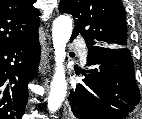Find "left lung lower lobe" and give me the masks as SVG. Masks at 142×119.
<instances>
[{
	"instance_id": "obj_1",
	"label": "left lung lower lobe",
	"mask_w": 142,
	"mask_h": 119,
	"mask_svg": "<svg viewBox=\"0 0 142 119\" xmlns=\"http://www.w3.org/2000/svg\"><path fill=\"white\" fill-rule=\"evenodd\" d=\"M75 38L71 36L70 41ZM89 73L70 91L68 101L78 119H124L140 100L128 48L88 47Z\"/></svg>"
}]
</instances>
